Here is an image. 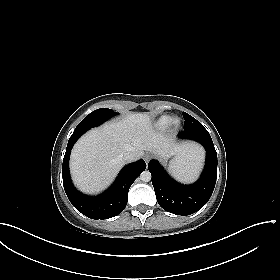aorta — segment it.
I'll list each match as a JSON object with an SVG mask.
<instances>
[{"label":"aorta","instance_id":"aorta-1","mask_svg":"<svg viewBox=\"0 0 280 280\" xmlns=\"http://www.w3.org/2000/svg\"><path fill=\"white\" fill-rule=\"evenodd\" d=\"M151 173L147 170L143 171L141 174H140V179L143 181V182H149L151 180Z\"/></svg>","mask_w":280,"mask_h":280}]
</instances>
